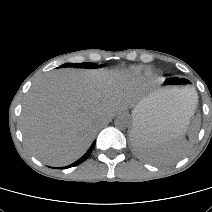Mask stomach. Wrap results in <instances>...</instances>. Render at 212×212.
Segmentation results:
<instances>
[{
  "instance_id": "1",
  "label": "stomach",
  "mask_w": 212,
  "mask_h": 212,
  "mask_svg": "<svg viewBox=\"0 0 212 212\" xmlns=\"http://www.w3.org/2000/svg\"><path fill=\"white\" fill-rule=\"evenodd\" d=\"M179 78H171L162 81L163 86L154 90L147 98L141 100L133 109V127L143 119L148 131L151 134L162 136L166 139H173L183 134L180 118L177 114V99L175 91L187 87L180 84Z\"/></svg>"
}]
</instances>
